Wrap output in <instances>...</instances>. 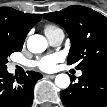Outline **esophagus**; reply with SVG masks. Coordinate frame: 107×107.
Returning <instances> with one entry per match:
<instances>
[{
  "instance_id": "obj_1",
  "label": "esophagus",
  "mask_w": 107,
  "mask_h": 107,
  "mask_svg": "<svg viewBox=\"0 0 107 107\" xmlns=\"http://www.w3.org/2000/svg\"><path fill=\"white\" fill-rule=\"evenodd\" d=\"M56 75L55 74H45V78H54Z\"/></svg>"
}]
</instances>
